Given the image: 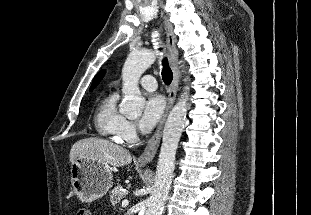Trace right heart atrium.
<instances>
[{"instance_id":"d8ad5b80","label":"right heart atrium","mask_w":311,"mask_h":215,"mask_svg":"<svg viewBox=\"0 0 311 215\" xmlns=\"http://www.w3.org/2000/svg\"><path fill=\"white\" fill-rule=\"evenodd\" d=\"M119 138L121 142L128 144L133 143L137 139L136 126L132 121L125 119L119 130Z\"/></svg>"}]
</instances>
